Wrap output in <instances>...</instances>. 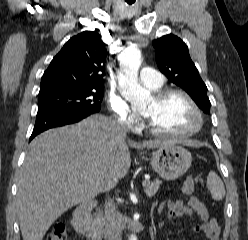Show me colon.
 <instances>
[{"label": "colon", "mask_w": 248, "mask_h": 240, "mask_svg": "<svg viewBox=\"0 0 248 240\" xmlns=\"http://www.w3.org/2000/svg\"><path fill=\"white\" fill-rule=\"evenodd\" d=\"M195 186V181L192 177H188L182 186V191L185 195L189 196L193 193ZM46 240H67L66 226L64 223H56Z\"/></svg>", "instance_id": "colon-1"}]
</instances>
